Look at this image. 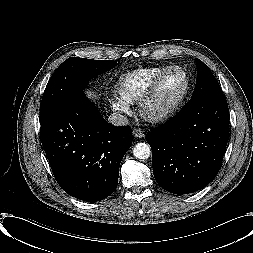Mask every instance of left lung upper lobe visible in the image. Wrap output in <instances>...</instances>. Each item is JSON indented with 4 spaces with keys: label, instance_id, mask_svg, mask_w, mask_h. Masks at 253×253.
Returning <instances> with one entry per match:
<instances>
[{
    "label": "left lung upper lobe",
    "instance_id": "left-lung-upper-lobe-1",
    "mask_svg": "<svg viewBox=\"0 0 253 253\" xmlns=\"http://www.w3.org/2000/svg\"><path fill=\"white\" fill-rule=\"evenodd\" d=\"M196 65L197 80L190 101H199V104L204 105L223 95V92L211 70L199 59H196Z\"/></svg>",
    "mask_w": 253,
    "mask_h": 253
}]
</instances>
